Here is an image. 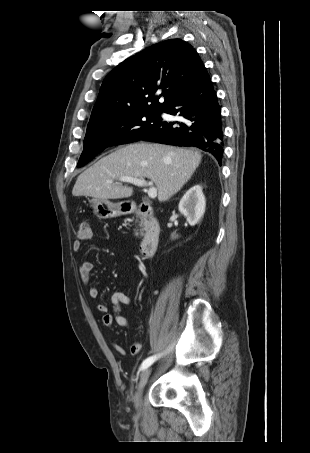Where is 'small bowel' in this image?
<instances>
[{"mask_svg":"<svg viewBox=\"0 0 310 453\" xmlns=\"http://www.w3.org/2000/svg\"><path fill=\"white\" fill-rule=\"evenodd\" d=\"M91 237V236H90ZM89 237V238H90ZM87 238V239H89ZM82 249V242L80 239H77L73 242V250L79 252ZM93 269V263L91 261L85 260L81 262L79 266V274L82 283L88 286V295L92 299H96L99 296L98 288L94 285H89L91 272ZM110 302L112 305V312L109 311L108 306L105 303H98L96 308L97 311L102 315V324L104 327H111L114 323L120 327H126L128 325V319L121 314V309L123 305H128L131 302L130 297L121 291H115L110 296ZM113 349L119 355H125V349L117 344L113 343ZM142 345L138 342L134 343L131 346V354L138 355L141 352Z\"/></svg>","mask_w":310,"mask_h":453,"instance_id":"small-bowel-1","label":"small bowel"}]
</instances>
